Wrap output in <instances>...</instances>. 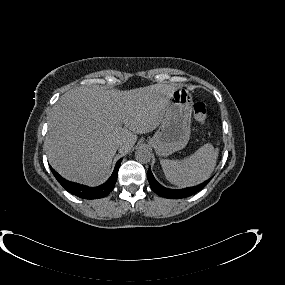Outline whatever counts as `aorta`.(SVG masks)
<instances>
[{
	"instance_id": "1",
	"label": "aorta",
	"mask_w": 285,
	"mask_h": 285,
	"mask_svg": "<svg viewBox=\"0 0 285 285\" xmlns=\"http://www.w3.org/2000/svg\"><path fill=\"white\" fill-rule=\"evenodd\" d=\"M135 159L140 163H148L151 160V152L147 148H139L135 152Z\"/></svg>"
}]
</instances>
